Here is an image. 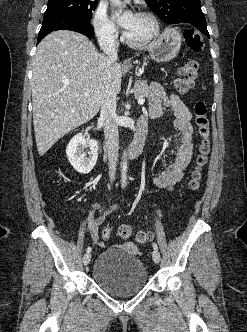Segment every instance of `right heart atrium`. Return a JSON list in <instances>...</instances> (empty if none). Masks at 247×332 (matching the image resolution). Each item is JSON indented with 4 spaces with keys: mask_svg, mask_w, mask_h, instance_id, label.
<instances>
[{
    "mask_svg": "<svg viewBox=\"0 0 247 332\" xmlns=\"http://www.w3.org/2000/svg\"><path fill=\"white\" fill-rule=\"evenodd\" d=\"M94 32L100 43L114 45L117 40V29L107 15L104 7H98L92 19Z\"/></svg>",
    "mask_w": 247,
    "mask_h": 332,
    "instance_id": "obj_1",
    "label": "right heart atrium"
}]
</instances>
